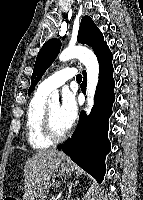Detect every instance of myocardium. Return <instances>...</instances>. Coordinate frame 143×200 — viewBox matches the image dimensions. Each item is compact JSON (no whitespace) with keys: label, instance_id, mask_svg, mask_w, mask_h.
<instances>
[{"label":"myocardium","instance_id":"myocardium-1","mask_svg":"<svg viewBox=\"0 0 143 200\" xmlns=\"http://www.w3.org/2000/svg\"><path fill=\"white\" fill-rule=\"evenodd\" d=\"M41 132L42 135L51 143H58L67 138L70 129L68 128L62 134H56L52 129L49 107H45L41 122Z\"/></svg>","mask_w":143,"mask_h":200}]
</instances>
